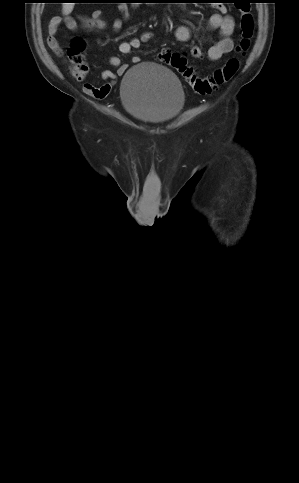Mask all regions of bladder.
Returning a JSON list of instances; mask_svg holds the SVG:
<instances>
[{
  "label": "bladder",
  "instance_id": "31cf9c89",
  "mask_svg": "<svg viewBox=\"0 0 299 483\" xmlns=\"http://www.w3.org/2000/svg\"><path fill=\"white\" fill-rule=\"evenodd\" d=\"M120 98L132 116L149 124L172 121L185 104L177 76L151 62H142L127 70L120 84Z\"/></svg>",
  "mask_w": 299,
  "mask_h": 483
}]
</instances>
